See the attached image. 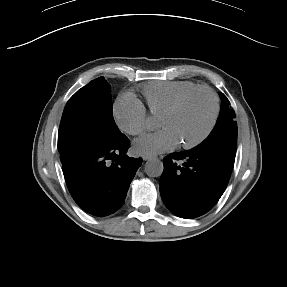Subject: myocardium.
I'll return each instance as SVG.
<instances>
[{"label":"myocardium","mask_w":287,"mask_h":287,"mask_svg":"<svg viewBox=\"0 0 287 287\" xmlns=\"http://www.w3.org/2000/svg\"><path fill=\"white\" fill-rule=\"evenodd\" d=\"M200 92H204L210 97V99L212 101V114H211L208 126L206 127L204 132L199 137H197L196 139L189 141V142H181L180 143V146L182 148H185V149H191V148H194V147L200 145L212 133V131L216 125L218 115H219V109H220L219 100H218V97L215 94V92L212 89L205 87V86L195 87L192 90L183 94L180 98H178L161 116V117H166V116H172V115L176 114L180 110V108L192 96H194L195 94L200 93Z\"/></svg>","instance_id":"1"}]
</instances>
